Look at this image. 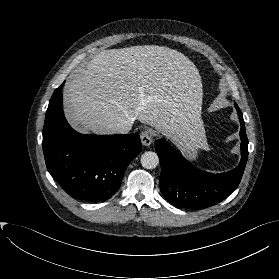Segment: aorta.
Segmentation results:
<instances>
[{
  "label": "aorta",
  "mask_w": 279,
  "mask_h": 279,
  "mask_svg": "<svg viewBox=\"0 0 279 279\" xmlns=\"http://www.w3.org/2000/svg\"><path fill=\"white\" fill-rule=\"evenodd\" d=\"M159 164L158 155L155 152L147 151L141 155V165L146 169H154Z\"/></svg>",
  "instance_id": "762f6f07"
}]
</instances>
